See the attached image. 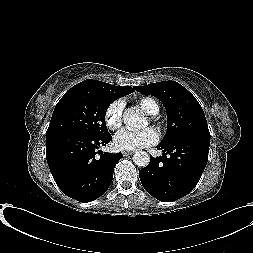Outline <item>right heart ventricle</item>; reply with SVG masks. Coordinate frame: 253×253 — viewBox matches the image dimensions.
Instances as JSON below:
<instances>
[{"mask_svg": "<svg viewBox=\"0 0 253 253\" xmlns=\"http://www.w3.org/2000/svg\"><path fill=\"white\" fill-rule=\"evenodd\" d=\"M136 104L149 115H155L159 112V104L151 97H141L136 101Z\"/></svg>", "mask_w": 253, "mask_h": 253, "instance_id": "e07e8e85", "label": "right heart ventricle"}]
</instances>
